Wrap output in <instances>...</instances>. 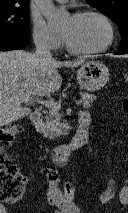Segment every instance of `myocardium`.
I'll return each mask as SVG.
<instances>
[{
  "label": "myocardium",
  "mask_w": 128,
  "mask_h": 213,
  "mask_svg": "<svg viewBox=\"0 0 128 213\" xmlns=\"http://www.w3.org/2000/svg\"><path fill=\"white\" fill-rule=\"evenodd\" d=\"M85 16H96L100 18L102 21H104L109 31V35H108V39L106 43L102 47L97 49H90V50L80 49L75 47L69 41L66 35L62 34L66 49L72 54L85 55V56L99 54V53L107 51L113 45L116 38V30H115L114 23L105 13L98 10H94V9H83V10L76 11L75 13L72 14L71 17L74 19H79Z\"/></svg>",
  "instance_id": "f54148a6"
}]
</instances>
